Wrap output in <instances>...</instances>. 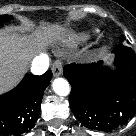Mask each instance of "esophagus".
Returning <instances> with one entry per match:
<instances>
[{"label":"esophagus","mask_w":136,"mask_h":136,"mask_svg":"<svg viewBox=\"0 0 136 136\" xmlns=\"http://www.w3.org/2000/svg\"><path fill=\"white\" fill-rule=\"evenodd\" d=\"M52 72L54 77L62 75V63L60 61L54 62L52 66Z\"/></svg>","instance_id":"obj_1"}]
</instances>
